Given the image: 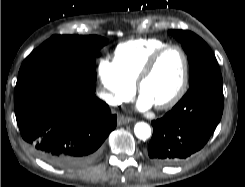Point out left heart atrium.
I'll return each mask as SVG.
<instances>
[{"label":"left heart atrium","mask_w":245,"mask_h":187,"mask_svg":"<svg viewBox=\"0 0 245 187\" xmlns=\"http://www.w3.org/2000/svg\"><path fill=\"white\" fill-rule=\"evenodd\" d=\"M153 104L151 103V101L145 97L144 95H140L139 100H138V107L141 110H145L148 109L152 106Z\"/></svg>","instance_id":"1"}]
</instances>
